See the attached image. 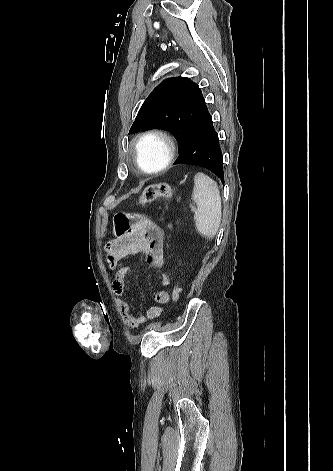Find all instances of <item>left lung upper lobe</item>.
Returning a JSON list of instances; mask_svg holds the SVG:
<instances>
[{"label": "left lung upper lobe", "mask_w": 333, "mask_h": 471, "mask_svg": "<svg viewBox=\"0 0 333 471\" xmlns=\"http://www.w3.org/2000/svg\"><path fill=\"white\" fill-rule=\"evenodd\" d=\"M206 112L196 83L187 77L166 79L144 101L129 134L155 128L169 130L178 139L181 152Z\"/></svg>", "instance_id": "1"}]
</instances>
